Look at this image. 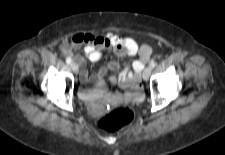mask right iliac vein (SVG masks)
I'll return each instance as SVG.
<instances>
[{
	"label": "right iliac vein",
	"instance_id": "obj_1",
	"mask_svg": "<svg viewBox=\"0 0 225 155\" xmlns=\"http://www.w3.org/2000/svg\"><path fill=\"white\" fill-rule=\"evenodd\" d=\"M71 68H72L74 73L77 74L79 72V67H78V65L76 63H72L71 64Z\"/></svg>",
	"mask_w": 225,
	"mask_h": 155
}]
</instances>
